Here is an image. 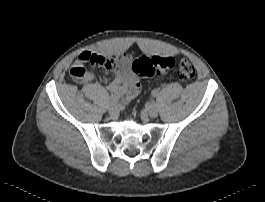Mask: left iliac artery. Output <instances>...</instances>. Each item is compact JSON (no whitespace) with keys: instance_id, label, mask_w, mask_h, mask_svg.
I'll return each instance as SVG.
<instances>
[{"instance_id":"44dca946","label":"left iliac artery","mask_w":265,"mask_h":202,"mask_svg":"<svg viewBox=\"0 0 265 202\" xmlns=\"http://www.w3.org/2000/svg\"><path fill=\"white\" fill-rule=\"evenodd\" d=\"M152 95H153L154 97H156V96H157V92H156V91H153V92H152Z\"/></svg>"}]
</instances>
